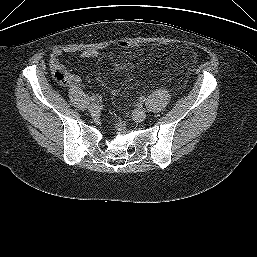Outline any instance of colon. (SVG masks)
I'll list each match as a JSON object with an SVG mask.
<instances>
[{"mask_svg": "<svg viewBox=\"0 0 257 257\" xmlns=\"http://www.w3.org/2000/svg\"><path fill=\"white\" fill-rule=\"evenodd\" d=\"M120 46L124 49H137L140 45L135 41L124 40L120 42ZM53 77L55 81L61 85L69 84V75L61 68L53 70Z\"/></svg>", "mask_w": 257, "mask_h": 257, "instance_id": "1", "label": "colon"}]
</instances>
